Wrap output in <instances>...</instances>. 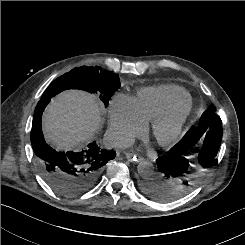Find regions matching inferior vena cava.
Returning a JSON list of instances; mask_svg holds the SVG:
<instances>
[{
    "instance_id": "1",
    "label": "inferior vena cava",
    "mask_w": 245,
    "mask_h": 245,
    "mask_svg": "<svg viewBox=\"0 0 245 245\" xmlns=\"http://www.w3.org/2000/svg\"><path fill=\"white\" fill-rule=\"evenodd\" d=\"M134 143L131 139L126 138H114L109 135H106L104 138V144L107 148L110 147H119V148H128Z\"/></svg>"
}]
</instances>
